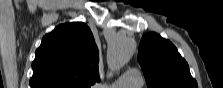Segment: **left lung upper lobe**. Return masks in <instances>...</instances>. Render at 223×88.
I'll return each instance as SVG.
<instances>
[{
	"mask_svg": "<svg viewBox=\"0 0 223 88\" xmlns=\"http://www.w3.org/2000/svg\"><path fill=\"white\" fill-rule=\"evenodd\" d=\"M138 62L148 88H198L176 47L156 33L142 37Z\"/></svg>",
	"mask_w": 223,
	"mask_h": 88,
	"instance_id": "left-lung-upper-lobe-1",
	"label": "left lung upper lobe"
}]
</instances>
